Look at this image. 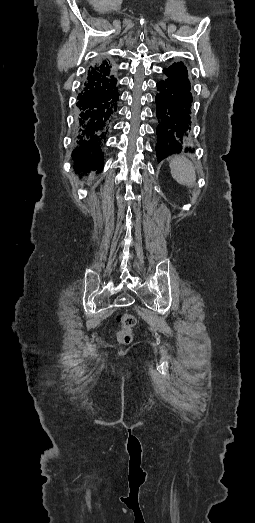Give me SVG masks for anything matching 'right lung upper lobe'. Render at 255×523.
<instances>
[{
	"mask_svg": "<svg viewBox=\"0 0 255 523\" xmlns=\"http://www.w3.org/2000/svg\"><path fill=\"white\" fill-rule=\"evenodd\" d=\"M92 96L100 98V107L97 109L90 108L86 113L81 112L79 103L83 100L89 102V98ZM118 96V79L111 63L107 60H100L95 65L89 67L83 89L78 95L76 104L78 109V135L77 146L73 151L72 157L74 158V166L79 168V170L99 172L100 167L104 165V155L101 147L115 118ZM87 118L98 122V126L94 128V134L91 137H86L83 134V127ZM87 139L94 142V150L90 153L83 150V142Z\"/></svg>",
	"mask_w": 255,
	"mask_h": 523,
	"instance_id": "1",
	"label": "right lung upper lobe"
}]
</instances>
